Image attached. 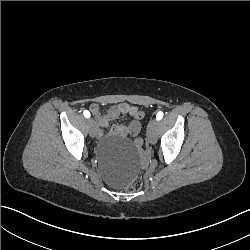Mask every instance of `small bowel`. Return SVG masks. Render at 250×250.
<instances>
[{"label": "small bowel", "mask_w": 250, "mask_h": 250, "mask_svg": "<svg viewBox=\"0 0 250 250\" xmlns=\"http://www.w3.org/2000/svg\"><path fill=\"white\" fill-rule=\"evenodd\" d=\"M92 114L97 120L99 130V136H102L103 129L107 127L108 123L117 118L120 114H129L132 117V121L128 125H114L110 132L115 136L123 137H135L139 134L141 129L140 122L135 120V112L138 110L137 107L121 103L119 105L113 106L106 113H101L96 105H92L90 108Z\"/></svg>", "instance_id": "c3829d8e"}]
</instances>
